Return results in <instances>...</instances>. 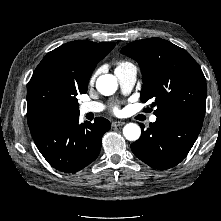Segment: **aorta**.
Segmentation results:
<instances>
[{
	"label": "aorta",
	"mask_w": 221,
	"mask_h": 221,
	"mask_svg": "<svg viewBox=\"0 0 221 221\" xmlns=\"http://www.w3.org/2000/svg\"><path fill=\"white\" fill-rule=\"evenodd\" d=\"M96 88L102 95H112L118 88L117 79L111 74L101 75L97 78ZM123 135L129 141H136L141 135V128L135 123H128L123 128Z\"/></svg>",
	"instance_id": "aorta-1"
}]
</instances>
